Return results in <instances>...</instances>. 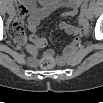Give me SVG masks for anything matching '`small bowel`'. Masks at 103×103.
<instances>
[{"label":"small bowel","instance_id":"obj_1","mask_svg":"<svg viewBox=\"0 0 103 103\" xmlns=\"http://www.w3.org/2000/svg\"><path fill=\"white\" fill-rule=\"evenodd\" d=\"M10 1L7 6L9 9L15 4L18 9V15L13 22V39L14 42L23 47L29 54L27 62L30 66L35 67L38 65L42 56L53 55V51L48 50L41 52L47 46V39L40 35L37 31L38 26L42 19L49 16L57 9L65 8L62 13L63 17H73L79 15L77 24H70L67 22L60 23V28L68 35H72L73 38L64 47L61 53L56 54V60L59 64H65L70 57L74 54L81 42V37L85 36L89 32L88 22V6L79 0H67V1H54L46 0L42 1L40 5H37L34 1ZM14 14V11H13ZM28 15L27 28L30 31L29 41L23 27V20Z\"/></svg>","mask_w":103,"mask_h":103}]
</instances>
